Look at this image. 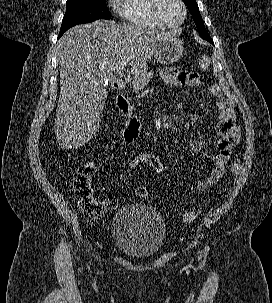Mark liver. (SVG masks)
<instances>
[{
    "label": "liver",
    "mask_w": 272,
    "mask_h": 303,
    "mask_svg": "<svg viewBox=\"0 0 272 303\" xmlns=\"http://www.w3.org/2000/svg\"><path fill=\"white\" fill-rule=\"evenodd\" d=\"M171 36L106 20L77 25L64 33L58 42L60 93L54 124L63 148L77 149L99 130L107 99L105 82L127 65L134 74L146 70L160 43Z\"/></svg>",
    "instance_id": "obj_1"
}]
</instances>
